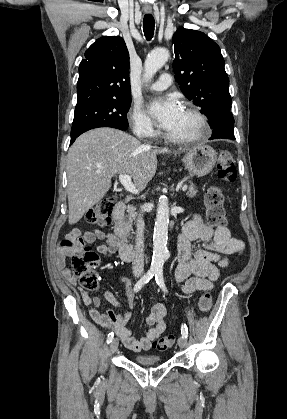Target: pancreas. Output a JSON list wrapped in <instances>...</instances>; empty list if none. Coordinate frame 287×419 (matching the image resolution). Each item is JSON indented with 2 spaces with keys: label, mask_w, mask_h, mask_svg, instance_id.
<instances>
[{
  "label": "pancreas",
  "mask_w": 287,
  "mask_h": 419,
  "mask_svg": "<svg viewBox=\"0 0 287 419\" xmlns=\"http://www.w3.org/2000/svg\"><path fill=\"white\" fill-rule=\"evenodd\" d=\"M196 193H197L196 186L194 184L189 185L188 190L186 192V195L188 197L192 198L196 195ZM136 216H137V213L135 212V207L128 206L127 215H126V217L124 219V223H123V225L125 226V228L128 231L132 230V225H133V222L136 220Z\"/></svg>",
  "instance_id": "cf45deb5"
}]
</instances>
